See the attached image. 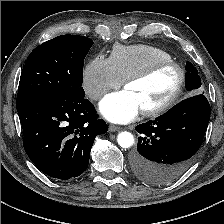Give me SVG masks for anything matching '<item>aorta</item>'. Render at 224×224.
<instances>
[{
  "label": "aorta",
  "instance_id": "aorta-1",
  "mask_svg": "<svg viewBox=\"0 0 224 224\" xmlns=\"http://www.w3.org/2000/svg\"><path fill=\"white\" fill-rule=\"evenodd\" d=\"M117 141L122 148H129L134 144V137L130 132L123 131L118 134Z\"/></svg>",
  "mask_w": 224,
  "mask_h": 224
}]
</instances>
